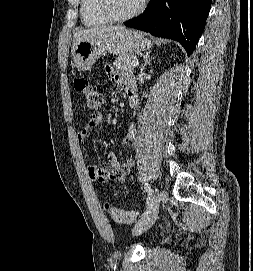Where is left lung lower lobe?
<instances>
[{
    "label": "left lung lower lobe",
    "mask_w": 253,
    "mask_h": 271,
    "mask_svg": "<svg viewBox=\"0 0 253 271\" xmlns=\"http://www.w3.org/2000/svg\"><path fill=\"white\" fill-rule=\"evenodd\" d=\"M211 0H151L146 11L125 25L178 41L191 55L204 30Z\"/></svg>",
    "instance_id": "obj_1"
}]
</instances>
